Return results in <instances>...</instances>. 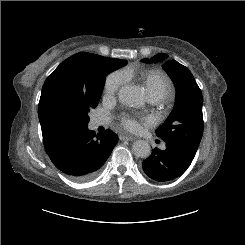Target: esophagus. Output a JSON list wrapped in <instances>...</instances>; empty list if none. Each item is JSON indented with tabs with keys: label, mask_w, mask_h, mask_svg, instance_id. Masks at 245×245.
<instances>
[{
	"label": "esophagus",
	"mask_w": 245,
	"mask_h": 245,
	"mask_svg": "<svg viewBox=\"0 0 245 245\" xmlns=\"http://www.w3.org/2000/svg\"><path fill=\"white\" fill-rule=\"evenodd\" d=\"M119 139L121 141H133L134 140V137H132V136H126V135H120L119 136Z\"/></svg>",
	"instance_id": "34e87169"
}]
</instances>
